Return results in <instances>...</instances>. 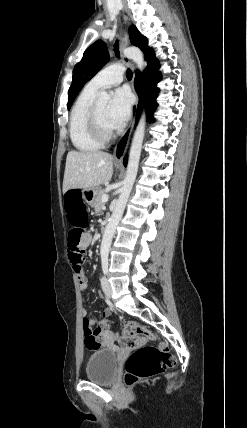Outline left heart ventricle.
<instances>
[{
  "label": "left heart ventricle",
  "instance_id": "left-heart-ventricle-1",
  "mask_svg": "<svg viewBox=\"0 0 247 428\" xmlns=\"http://www.w3.org/2000/svg\"><path fill=\"white\" fill-rule=\"evenodd\" d=\"M107 108H108V105L106 103L96 105L97 115H98V119H99V123H100L101 128L105 132H111V131H113V129L110 127V125L107 121V117H106Z\"/></svg>",
  "mask_w": 247,
  "mask_h": 428
}]
</instances>
